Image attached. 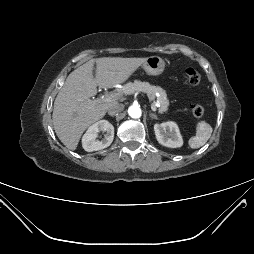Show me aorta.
Listing matches in <instances>:
<instances>
[{"label": "aorta", "mask_w": 254, "mask_h": 254, "mask_svg": "<svg viewBox=\"0 0 254 254\" xmlns=\"http://www.w3.org/2000/svg\"><path fill=\"white\" fill-rule=\"evenodd\" d=\"M128 114L132 118H139L141 116V109L139 108V106L132 105L128 109Z\"/></svg>", "instance_id": "762f6f07"}]
</instances>
